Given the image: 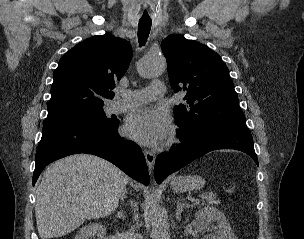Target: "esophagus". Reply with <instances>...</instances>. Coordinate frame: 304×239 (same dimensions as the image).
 I'll return each instance as SVG.
<instances>
[{
	"instance_id": "obj_1",
	"label": "esophagus",
	"mask_w": 304,
	"mask_h": 239,
	"mask_svg": "<svg viewBox=\"0 0 304 239\" xmlns=\"http://www.w3.org/2000/svg\"><path fill=\"white\" fill-rule=\"evenodd\" d=\"M144 156L148 165V168L151 173H153L154 164H155V155L149 150H144Z\"/></svg>"
}]
</instances>
